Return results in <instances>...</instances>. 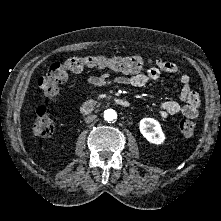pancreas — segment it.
<instances>
[{
    "instance_id": "obj_1",
    "label": "pancreas",
    "mask_w": 221,
    "mask_h": 221,
    "mask_svg": "<svg viewBox=\"0 0 221 221\" xmlns=\"http://www.w3.org/2000/svg\"><path fill=\"white\" fill-rule=\"evenodd\" d=\"M99 98H101V99L106 98V95L101 94V95H99Z\"/></svg>"
}]
</instances>
